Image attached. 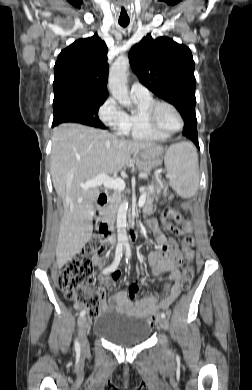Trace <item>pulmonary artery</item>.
Wrapping results in <instances>:
<instances>
[{"instance_id":"e3ab8cb5","label":"pulmonary artery","mask_w":252,"mask_h":390,"mask_svg":"<svg viewBox=\"0 0 252 390\" xmlns=\"http://www.w3.org/2000/svg\"><path fill=\"white\" fill-rule=\"evenodd\" d=\"M131 94L138 98H145L151 95L148 88L139 82H133L131 84Z\"/></svg>"}]
</instances>
